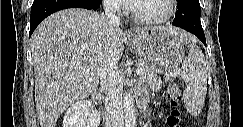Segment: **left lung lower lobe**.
<instances>
[{
	"label": "left lung lower lobe",
	"mask_w": 243,
	"mask_h": 127,
	"mask_svg": "<svg viewBox=\"0 0 243 127\" xmlns=\"http://www.w3.org/2000/svg\"><path fill=\"white\" fill-rule=\"evenodd\" d=\"M199 0H181L172 25L181 27L195 34L206 45L205 34L200 21Z\"/></svg>",
	"instance_id": "left-lung-lower-lobe-1"
}]
</instances>
